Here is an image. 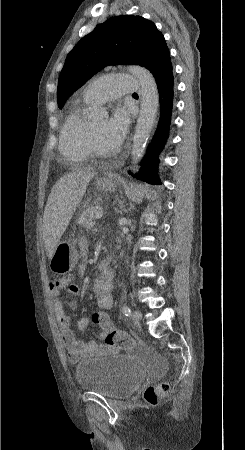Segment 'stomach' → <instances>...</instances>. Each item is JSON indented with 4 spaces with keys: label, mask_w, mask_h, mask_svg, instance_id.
Instances as JSON below:
<instances>
[{
    "label": "stomach",
    "mask_w": 245,
    "mask_h": 450,
    "mask_svg": "<svg viewBox=\"0 0 245 450\" xmlns=\"http://www.w3.org/2000/svg\"><path fill=\"white\" fill-rule=\"evenodd\" d=\"M96 186L104 191H114L116 188L115 183L106 178L98 179ZM77 262L78 253L74 245L66 241L59 242L50 259V269L56 274H66L73 270Z\"/></svg>",
    "instance_id": "stomach-1"
}]
</instances>
